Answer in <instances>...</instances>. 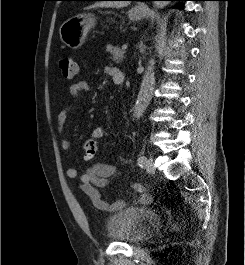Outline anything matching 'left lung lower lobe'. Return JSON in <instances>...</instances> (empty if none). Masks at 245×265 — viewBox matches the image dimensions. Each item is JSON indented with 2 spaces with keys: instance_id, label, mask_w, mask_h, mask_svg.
Listing matches in <instances>:
<instances>
[{
  "instance_id": "obj_1",
  "label": "left lung lower lobe",
  "mask_w": 245,
  "mask_h": 265,
  "mask_svg": "<svg viewBox=\"0 0 245 265\" xmlns=\"http://www.w3.org/2000/svg\"><path fill=\"white\" fill-rule=\"evenodd\" d=\"M126 1H161V0H126ZM162 1H188V0H162ZM176 8H183V5H177Z\"/></svg>"
}]
</instances>
